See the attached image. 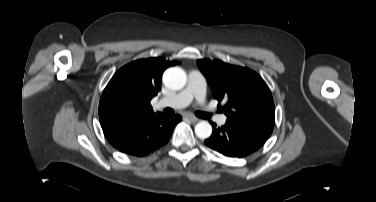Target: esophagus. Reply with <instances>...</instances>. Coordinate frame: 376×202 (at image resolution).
<instances>
[{
	"label": "esophagus",
	"mask_w": 376,
	"mask_h": 202,
	"mask_svg": "<svg viewBox=\"0 0 376 202\" xmlns=\"http://www.w3.org/2000/svg\"><path fill=\"white\" fill-rule=\"evenodd\" d=\"M189 120H191L192 122H197L199 121V119L193 115H187L186 116Z\"/></svg>",
	"instance_id": "esophagus-1"
}]
</instances>
